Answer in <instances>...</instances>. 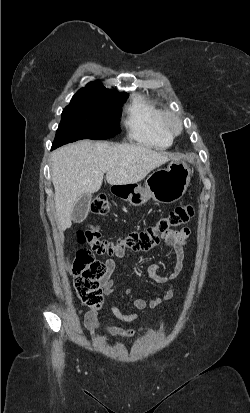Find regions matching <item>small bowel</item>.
<instances>
[{
  "instance_id": "obj_1",
  "label": "small bowel",
  "mask_w": 250,
  "mask_h": 413,
  "mask_svg": "<svg viewBox=\"0 0 250 413\" xmlns=\"http://www.w3.org/2000/svg\"><path fill=\"white\" fill-rule=\"evenodd\" d=\"M164 242L169 248V251L164 254L165 259L173 264V271L168 275H161V265L159 264H151L146 271L147 278L153 280L159 284H166L170 285L168 291L165 295L161 297H157L151 300L145 298H137L133 300L132 305L137 310H143L146 308H155L160 305L162 302L168 301L172 299L174 296V287L172 285V281L175 280L178 275L181 273L184 264H185V254L184 248L187 245L188 238L190 236V229L185 227L181 230L177 229H165L163 231ZM117 258H121L124 255V251H116L113 254ZM106 269L104 276L101 278V285L103 288V292L106 296H112L115 292L114 288V281L111 278L112 273L115 270V261L112 258L105 260L103 263ZM125 268L129 266L124 264ZM131 291L129 289L125 290V294L129 295ZM110 309L113 315L124 322H132L138 319L137 313L132 314H125L121 312V310L116 305H111ZM85 326L93 331V332H100L98 320H97V310L91 309L85 313L84 316ZM107 331L118 338L128 339L134 337L139 331L134 329H124L122 327L116 325H109L106 327Z\"/></svg>"
}]
</instances>
